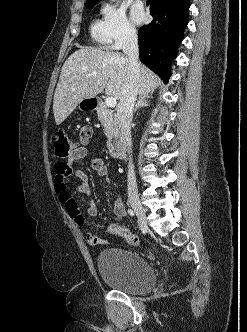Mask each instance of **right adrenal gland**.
<instances>
[{"label":"right adrenal gland","instance_id":"obj_1","mask_svg":"<svg viewBox=\"0 0 247 332\" xmlns=\"http://www.w3.org/2000/svg\"><path fill=\"white\" fill-rule=\"evenodd\" d=\"M150 98H152V96H149V95L139 96L135 103L134 112H136L138 110V108L149 106L150 103H149L148 99H150Z\"/></svg>","mask_w":247,"mask_h":332}]
</instances>
